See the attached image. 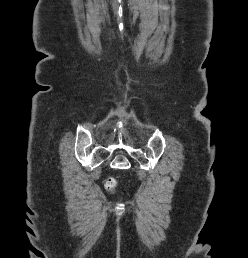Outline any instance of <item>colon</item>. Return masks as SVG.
Listing matches in <instances>:
<instances>
[{
    "label": "colon",
    "mask_w": 248,
    "mask_h": 258,
    "mask_svg": "<svg viewBox=\"0 0 248 258\" xmlns=\"http://www.w3.org/2000/svg\"><path fill=\"white\" fill-rule=\"evenodd\" d=\"M115 185H116V181H115L114 178L109 177V178H107V179L105 180V187H106L108 190H112V189L115 187Z\"/></svg>",
    "instance_id": "obj_1"
}]
</instances>
